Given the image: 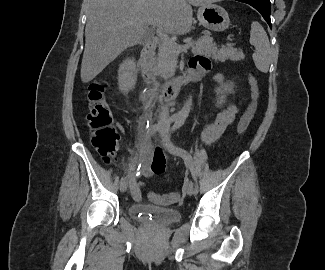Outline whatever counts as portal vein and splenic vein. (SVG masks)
<instances>
[{
	"mask_svg": "<svg viewBox=\"0 0 325 270\" xmlns=\"http://www.w3.org/2000/svg\"><path fill=\"white\" fill-rule=\"evenodd\" d=\"M158 35L164 44H167L169 46L176 48L179 52L187 50L188 48H190L193 45L192 43H189L187 45L180 46L175 42L174 39L170 38L166 33L162 32L161 30H158Z\"/></svg>",
	"mask_w": 325,
	"mask_h": 270,
	"instance_id": "1",
	"label": "portal vein and splenic vein"
}]
</instances>
